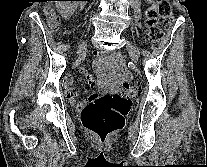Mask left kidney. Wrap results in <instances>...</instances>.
Masks as SVG:
<instances>
[{"label": "left kidney", "instance_id": "1", "mask_svg": "<svg viewBox=\"0 0 207 167\" xmlns=\"http://www.w3.org/2000/svg\"><path fill=\"white\" fill-rule=\"evenodd\" d=\"M146 1H149V2H151L152 0H146Z\"/></svg>", "mask_w": 207, "mask_h": 167}]
</instances>
